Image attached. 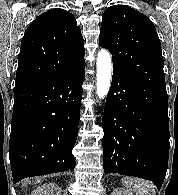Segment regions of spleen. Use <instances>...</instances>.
Returning a JSON list of instances; mask_svg holds the SVG:
<instances>
[{
    "label": "spleen",
    "instance_id": "1",
    "mask_svg": "<svg viewBox=\"0 0 178 195\" xmlns=\"http://www.w3.org/2000/svg\"><path fill=\"white\" fill-rule=\"evenodd\" d=\"M123 186L130 191L134 192L135 195H155L154 184L150 181L142 180L133 177H124L121 180Z\"/></svg>",
    "mask_w": 178,
    "mask_h": 195
}]
</instances>
